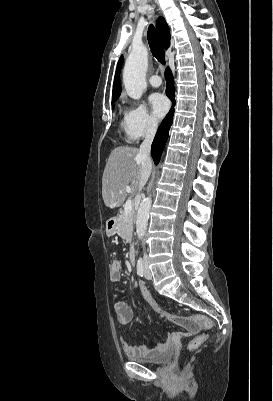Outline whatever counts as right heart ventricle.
Returning <instances> with one entry per match:
<instances>
[{
	"mask_svg": "<svg viewBox=\"0 0 273 401\" xmlns=\"http://www.w3.org/2000/svg\"><path fill=\"white\" fill-rule=\"evenodd\" d=\"M121 111H124V109H123V108H121ZM123 125H124V122H123Z\"/></svg>",
	"mask_w": 273,
	"mask_h": 401,
	"instance_id": "right-heart-ventricle-1",
	"label": "right heart ventricle"
}]
</instances>
